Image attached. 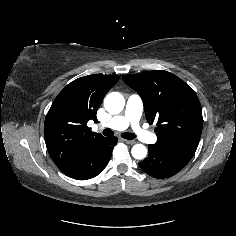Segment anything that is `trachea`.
I'll list each match as a JSON object with an SVG mask.
<instances>
[{
	"label": "trachea",
	"instance_id": "obj_1",
	"mask_svg": "<svg viewBox=\"0 0 236 236\" xmlns=\"http://www.w3.org/2000/svg\"><path fill=\"white\" fill-rule=\"evenodd\" d=\"M103 134H104L105 136H112V135H114L113 131L110 130V129H105V130L103 131ZM121 137H123V138H125V139H129V140H132V139L136 138L135 134H133V133H128V132L123 133V134L121 135Z\"/></svg>",
	"mask_w": 236,
	"mask_h": 236
}]
</instances>
